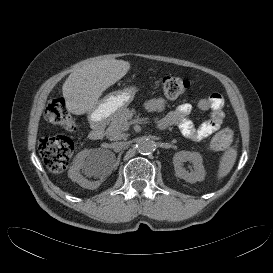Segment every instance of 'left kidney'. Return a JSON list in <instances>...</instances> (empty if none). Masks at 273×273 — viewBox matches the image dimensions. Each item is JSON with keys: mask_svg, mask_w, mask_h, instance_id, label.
<instances>
[{"mask_svg": "<svg viewBox=\"0 0 273 273\" xmlns=\"http://www.w3.org/2000/svg\"><path fill=\"white\" fill-rule=\"evenodd\" d=\"M186 161H190L193 164V170L191 172L186 171L183 167V163ZM202 163V156L198 152L179 151L175 153L173 157L176 176L189 183H196L197 181L204 180L206 173Z\"/></svg>", "mask_w": 273, "mask_h": 273, "instance_id": "1", "label": "left kidney"}]
</instances>
